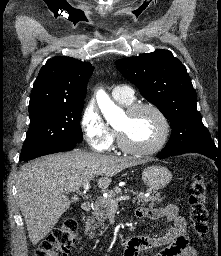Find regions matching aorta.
Returning <instances> with one entry per match:
<instances>
[{
    "label": "aorta",
    "instance_id": "aorta-1",
    "mask_svg": "<svg viewBox=\"0 0 221 256\" xmlns=\"http://www.w3.org/2000/svg\"><path fill=\"white\" fill-rule=\"evenodd\" d=\"M97 103L106 119H111L120 112L119 107L102 90H99L97 93Z\"/></svg>",
    "mask_w": 221,
    "mask_h": 256
}]
</instances>
